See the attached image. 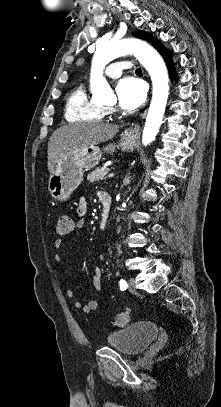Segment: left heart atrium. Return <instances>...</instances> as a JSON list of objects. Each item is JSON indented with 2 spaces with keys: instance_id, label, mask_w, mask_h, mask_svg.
Returning <instances> with one entry per match:
<instances>
[{
  "instance_id": "39dd6f15",
  "label": "left heart atrium",
  "mask_w": 221,
  "mask_h": 407,
  "mask_svg": "<svg viewBox=\"0 0 221 407\" xmlns=\"http://www.w3.org/2000/svg\"><path fill=\"white\" fill-rule=\"evenodd\" d=\"M119 105L123 109L134 110L142 105L146 96V88L141 79L128 76L120 79L115 87Z\"/></svg>"
}]
</instances>
